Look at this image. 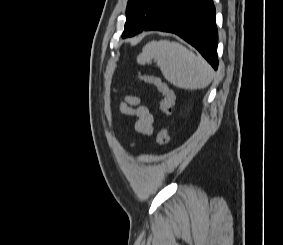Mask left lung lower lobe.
Returning <instances> with one entry per match:
<instances>
[{
	"label": "left lung lower lobe",
	"instance_id": "left-lung-lower-lobe-1",
	"mask_svg": "<svg viewBox=\"0 0 283 245\" xmlns=\"http://www.w3.org/2000/svg\"><path fill=\"white\" fill-rule=\"evenodd\" d=\"M144 30L177 34L217 69L218 32L212 0H173Z\"/></svg>",
	"mask_w": 283,
	"mask_h": 245
}]
</instances>
